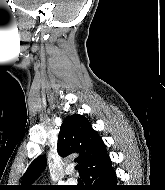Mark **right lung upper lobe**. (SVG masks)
Returning <instances> with one entry per match:
<instances>
[{"label":"right lung upper lobe","mask_w":165,"mask_h":190,"mask_svg":"<svg viewBox=\"0 0 165 190\" xmlns=\"http://www.w3.org/2000/svg\"><path fill=\"white\" fill-rule=\"evenodd\" d=\"M57 151L61 157L78 153L75 160L80 165L81 174L93 168L106 155V146L87 119L79 114L67 117L61 127L57 143ZM47 164L46 156L37 157L26 170L21 185L22 190H38L42 186L31 185L41 174Z\"/></svg>","instance_id":"right-lung-upper-lobe-1"}]
</instances>
